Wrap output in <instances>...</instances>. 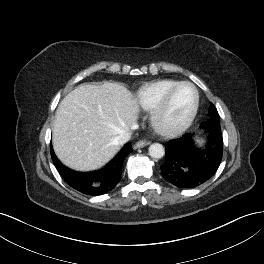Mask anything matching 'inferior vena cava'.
Segmentation results:
<instances>
[{
	"label": "inferior vena cava",
	"mask_w": 264,
	"mask_h": 264,
	"mask_svg": "<svg viewBox=\"0 0 264 264\" xmlns=\"http://www.w3.org/2000/svg\"><path fill=\"white\" fill-rule=\"evenodd\" d=\"M131 135H132L131 130L125 131V132L119 134L115 138L114 143L117 144V145H123V144L127 143L130 140Z\"/></svg>",
	"instance_id": "1"
}]
</instances>
